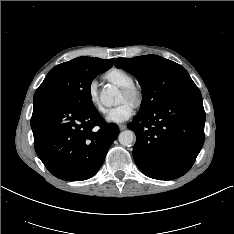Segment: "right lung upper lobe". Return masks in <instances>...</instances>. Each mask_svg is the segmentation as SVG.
<instances>
[{
  "instance_id": "cb5924a9",
  "label": "right lung upper lobe",
  "mask_w": 234,
  "mask_h": 234,
  "mask_svg": "<svg viewBox=\"0 0 234 234\" xmlns=\"http://www.w3.org/2000/svg\"><path fill=\"white\" fill-rule=\"evenodd\" d=\"M79 62L89 69H110L114 63L115 59L103 60L99 58L92 57H79Z\"/></svg>"
}]
</instances>
